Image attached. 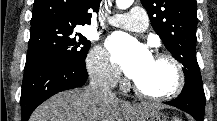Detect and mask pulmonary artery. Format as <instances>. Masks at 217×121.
I'll return each mask as SVG.
<instances>
[{
	"label": "pulmonary artery",
	"instance_id": "obj_1",
	"mask_svg": "<svg viewBox=\"0 0 217 121\" xmlns=\"http://www.w3.org/2000/svg\"><path fill=\"white\" fill-rule=\"evenodd\" d=\"M109 22L114 26L137 32L146 30L149 25L147 14L140 7H134L128 13L116 14Z\"/></svg>",
	"mask_w": 217,
	"mask_h": 121
}]
</instances>
